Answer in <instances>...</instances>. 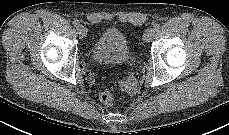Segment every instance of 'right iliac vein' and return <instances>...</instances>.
Returning <instances> with one entry per match:
<instances>
[{"label":"right iliac vein","mask_w":229,"mask_h":135,"mask_svg":"<svg viewBox=\"0 0 229 135\" xmlns=\"http://www.w3.org/2000/svg\"><path fill=\"white\" fill-rule=\"evenodd\" d=\"M77 30H78V34L80 35V37H86V35H87V29L84 27V26H79L78 28H77Z\"/></svg>","instance_id":"right-iliac-vein-1"}]
</instances>
